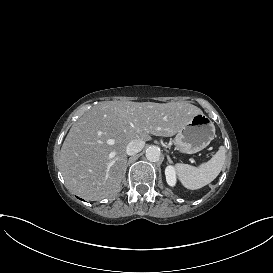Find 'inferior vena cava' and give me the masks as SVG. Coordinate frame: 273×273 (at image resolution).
Instances as JSON below:
<instances>
[{
	"instance_id": "602c4592",
	"label": "inferior vena cava",
	"mask_w": 273,
	"mask_h": 273,
	"mask_svg": "<svg viewBox=\"0 0 273 273\" xmlns=\"http://www.w3.org/2000/svg\"><path fill=\"white\" fill-rule=\"evenodd\" d=\"M145 146V142L140 139H134L131 142L128 143L126 147V153L128 155H134L138 152H140Z\"/></svg>"
}]
</instances>
